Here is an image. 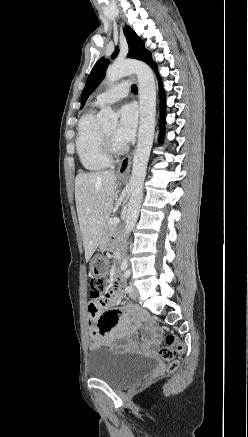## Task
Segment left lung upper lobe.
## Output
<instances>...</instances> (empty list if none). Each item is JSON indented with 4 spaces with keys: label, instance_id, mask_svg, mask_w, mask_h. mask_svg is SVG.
<instances>
[{
    "label": "left lung upper lobe",
    "instance_id": "5c2ea615",
    "mask_svg": "<svg viewBox=\"0 0 248 437\" xmlns=\"http://www.w3.org/2000/svg\"><path fill=\"white\" fill-rule=\"evenodd\" d=\"M124 34L127 38L129 53L128 57L141 60L151 66L153 69L157 70V65L151 60L150 52L145 49L144 42L136 35V33L129 27L124 28ZM119 52L118 47L112 55L114 58ZM109 65V60L102 57L91 70L86 86L83 89L81 96V108L84 106L85 101L88 96L96 89L105 76L106 69Z\"/></svg>",
    "mask_w": 248,
    "mask_h": 437
}]
</instances>
